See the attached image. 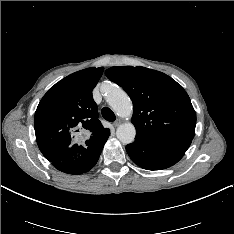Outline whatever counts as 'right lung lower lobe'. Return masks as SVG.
Instances as JSON below:
<instances>
[{
  "instance_id": "98d812e1",
  "label": "right lung lower lobe",
  "mask_w": 234,
  "mask_h": 234,
  "mask_svg": "<svg viewBox=\"0 0 234 234\" xmlns=\"http://www.w3.org/2000/svg\"><path fill=\"white\" fill-rule=\"evenodd\" d=\"M110 132L101 137L98 142L91 145L78 158L68 161L53 163V166L58 170L68 174H81L89 171L97 163L105 142L107 141Z\"/></svg>"
}]
</instances>
